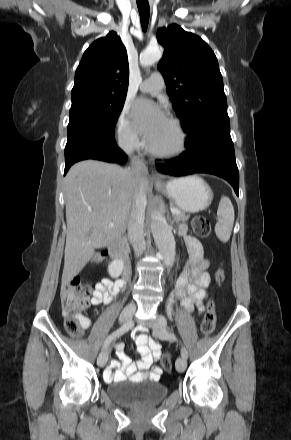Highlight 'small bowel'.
Instances as JSON below:
<instances>
[{"mask_svg": "<svg viewBox=\"0 0 291 440\" xmlns=\"http://www.w3.org/2000/svg\"><path fill=\"white\" fill-rule=\"evenodd\" d=\"M180 233L184 238L188 249L189 259L186 262L182 275L175 284V290L168 303V311L171 312L172 305L177 300H181L182 306L188 310L194 309L198 314L204 312V300L207 298V287L210 277L207 273L209 260L205 258L203 246L195 237L185 234V227H181ZM124 284L117 280H103L96 284L92 302L94 305L109 304L123 289ZM80 325L88 329L92 321L88 316L78 318ZM136 340L137 352L141 359L132 362L122 351V345H117L118 360L111 361L103 376L106 381H121L126 378L130 380L157 379L162 368L155 363L161 357V346L158 342L151 340L147 335L133 334Z\"/></svg>", "mask_w": 291, "mask_h": 440, "instance_id": "1", "label": "small bowel"}]
</instances>
